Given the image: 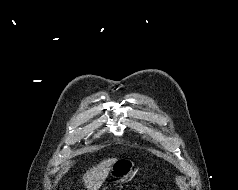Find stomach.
Returning <instances> with one entry per match:
<instances>
[{
    "mask_svg": "<svg viewBox=\"0 0 238 190\" xmlns=\"http://www.w3.org/2000/svg\"><path fill=\"white\" fill-rule=\"evenodd\" d=\"M134 163L128 159L117 160L111 167L114 178L125 179L133 173Z\"/></svg>",
    "mask_w": 238,
    "mask_h": 190,
    "instance_id": "0dacf381",
    "label": "stomach"
}]
</instances>
